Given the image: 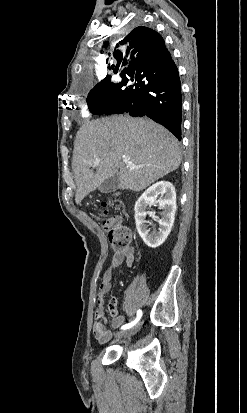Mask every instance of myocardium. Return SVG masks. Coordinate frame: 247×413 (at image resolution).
<instances>
[{"label":"myocardium","mask_w":247,"mask_h":413,"mask_svg":"<svg viewBox=\"0 0 247 413\" xmlns=\"http://www.w3.org/2000/svg\"><path fill=\"white\" fill-rule=\"evenodd\" d=\"M122 121H136V120H122Z\"/></svg>","instance_id":"f54148a6"}]
</instances>
